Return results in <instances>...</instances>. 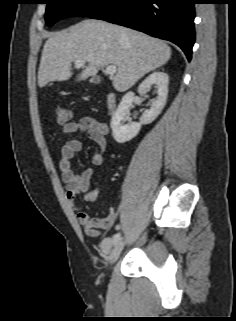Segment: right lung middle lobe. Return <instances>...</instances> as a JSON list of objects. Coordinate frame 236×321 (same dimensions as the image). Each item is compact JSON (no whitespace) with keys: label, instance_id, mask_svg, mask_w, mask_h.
<instances>
[{"label":"right lung middle lobe","instance_id":"obj_1","mask_svg":"<svg viewBox=\"0 0 236 321\" xmlns=\"http://www.w3.org/2000/svg\"><path fill=\"white\" fill-rule=\"evenodd\" d=\"M111 0H46L45 21L52 26L60 19L81 16L88 17L100 10Z\"/></svg>","mask_w":236,"mask_h":321}]
</instances>
